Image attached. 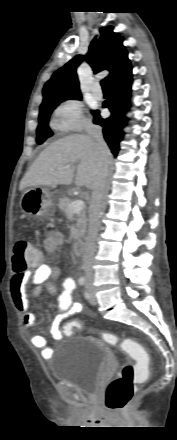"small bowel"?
<instances>
[{
    "mask_svg": "<svg viewBox=\"0 0 177 440\" xmlns=\"http://www.w3.org/2000/svg\"><path fill=\"white\" fill-rule=\"evenodd\" d=\"M64 243V236L57 230H49L44 240V247L47 251L53 252ZM60 276V269L57 266L40 262L35 265L34 270L16 272L10 281V293L13 303L22 315V324L25 328H31L36 324L37 317L31 311L29 300L26 294L28 283L33 285V295L39 296L43 290L51 295L57 293V287L54 283ZM76 288L75 280L71 277L65 278L62 282V292L58 295V314L54 317L51 326V335L54 340L62 338L60 326L69 316L82 313L85 307L82 303L76 301L73 292ZM32 345L41 351L43 358L47 359L52 354V348L48 346L45 336L36 334L31 337Z\"/></svg>",
    "mask_w": 177,
    "mask_h": 440,
    "instance_id": "small-bowel-1",
    "label": "small bowel"
}]
</instances>
